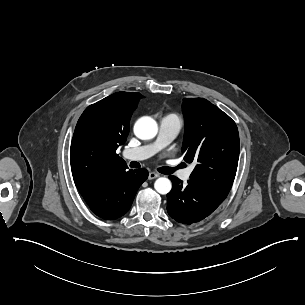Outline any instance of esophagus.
I'll list each match as a JSON object with an SVG mask.
<instances>
[{
    "label": "esophagus",
    "mask_w": 305,
    "mask_h": 305,
    "mask_svg": "<svg viewBox=\"0 0 305 305\" xmlns=\"http://www.w3.org/2000/svg\"><path fill=\"white\" fill-rule=\"evenodd\" d=\"M157 177H159V175L155 172H150L149 173V176H148V179L149 180H152V179H156Z\"/></svg>",
    "instance_id": "obj_1"
}]
</instances>
